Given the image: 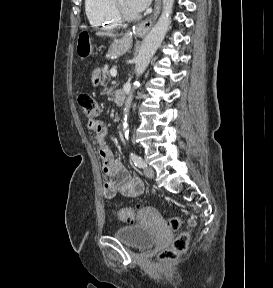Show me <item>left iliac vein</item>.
<instances>
[{
    "label": "left iliac vein",
    "mask_w": 273,
    "mask_h": 288,
    "mask_svg": "<svg viewBox=\"0 0 273 288\" xmlns=\"http://www.w3.org/2000/svg\"><path fill=\"white\" fill-rule=\"evenodd\" d=\"M144 175L149 179H153L155 176V172H154L153 168L145 167L144 168Z\"/></svg>",
    "instance_id": "1"
}]
</instances>
